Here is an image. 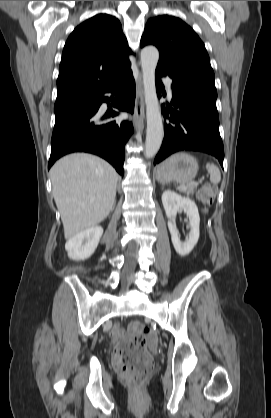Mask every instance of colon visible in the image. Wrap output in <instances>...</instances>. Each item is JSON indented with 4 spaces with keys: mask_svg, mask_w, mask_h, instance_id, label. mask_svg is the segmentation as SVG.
<instances>
[{
    "mask_svg": "<svg viewBox=\"0 0 271 418\" xmlns=\"http://www.w3.org/2000/svg\"><path fill=\"white\" fill-rule=\"evenodd\" d=\"M215 196V188L206 185L198 192L199 201L208 207ZM151 333L147 327L138 328L113 353V366L120 377L133 386L142 385L148 377L153 359L146 349V338Z\"/></svg>",
    "mask_w": 271,
    "mask_h": 418,
    "instance_id": "obj_1",
    "label": "colon"
}]
</instances>
